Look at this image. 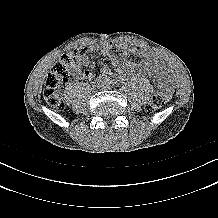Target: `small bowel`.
I'll list each match as a JSON object with an SVG mask.
<instances>
[{
	"label": "small bowel",
	"mask_w": 218,
	"mask_h": 218,
	"mask_svg": "<svg viewBox=\"0 0 218 218\" xmlns=\"http://www.w3.org/2000/svg\"><path fill=\"white\" fill-rule=\"evenodd\" d=\"M114 47V43L105 42L101 45H91L79 49L80 54L71 68V74L81 79L92 78L94 75L93 72L90 69H86L85 67L90 63L89 54L92 52H100L103 56H108L112 63L115 65L114 75L118 82H123L127 75L134 73L148 74L154 80H156L160 87L164 90L166 101L171 99L174 91L173 82L169 77L168 69L154 52L144 49L140 46H130L128 48L122 49L119 52L121 57L137 55L144 57L145 61L141 63L127 61L123 66H119L118 57L112 55V50ZM111 73L112 71L108 67H104L101 70L102 76H108Z\"/></svg>",
	"instance_id": "obj_1"
}]
</instances>
